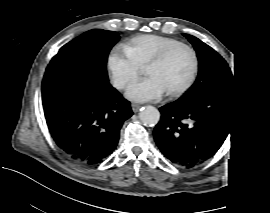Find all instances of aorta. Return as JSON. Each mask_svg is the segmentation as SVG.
Segmentation results:
<instances>
[{
	"label": "aorta",
	"mask_w": 270,
	"mask_h": 213,
	"mask_svg": "<svg viewBox=\"0 0 270 213\" xmlns=\"http://www.w3.org/2000/svg\"><path fill=\"white\" fill-rule=\"evenodd\" d=\"M139 119L145 126H155L160 120V112L154 106L147 105L139 112Z\"/></svg>",
	"instance_id": "1"
}]
</instances>
